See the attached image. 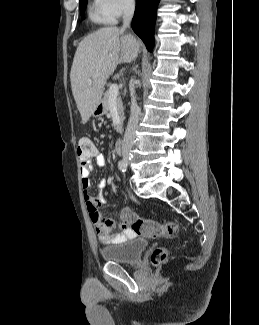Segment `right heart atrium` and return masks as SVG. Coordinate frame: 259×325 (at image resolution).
I'll use <instances>...</instances> for the list:
<instances>
[{
  "mask_svg": "<svg viewBox=\"0 0 259 325\" xmlns=\"http://www.w3.org/2000/svg\"><path fill=\"white\" fill-rule=\"evenodd\" d=\"M104 10L117 19L134 6V0H101Z\"/></svg>",
  "mask_w": 259,
  "mask_h": 325,
  "instance_id": "obj_1",
  "label": "right heart atrium"
}]
</instances>
